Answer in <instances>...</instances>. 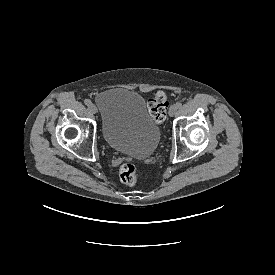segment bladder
I'll return each instance as SVG.
<instances>
[{"mask_svg":"<svg viewBox=\"0 0 275 275\" xmlns=\"http://www.w3.org/2000/svg\"><path fill=\"white\" fill-rule=\"evenodd\" d=\"M95 102L101 113L102 135L110 148L138 159L153 154L160 129L137 92L112 89L99 94Z\"/></svg>","mask_w":275,"mask_h":275,"instance_id":"obj_1","label":"bladder"}]
</instances>
